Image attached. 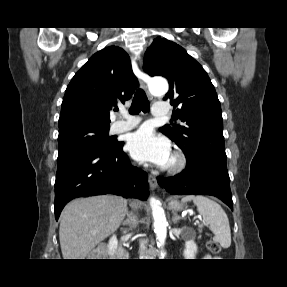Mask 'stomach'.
<instances>
[{
	"label": "stomach",
	"instance_id": "stomach-1",
	"mask_svg": "<svg viewBox=\"0 0 287 287\" xmlns=\"http://www.w3.org/2000/svg\"><path fill=\"white\" fill-rule=\"evenodd\" d=\"M169 208L173 211H179L183 209V205L177 200H171L169 202Z\"/></svg>",
	"mask_w": 287,
	"mask_h": 287
}]
</instances>
